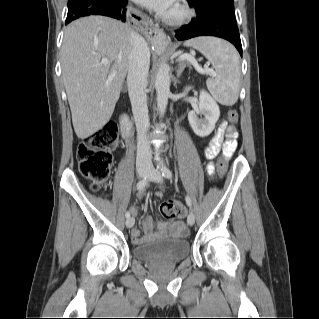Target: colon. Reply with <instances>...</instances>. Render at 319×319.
Segmentation results:
<instances>
[{
  "mask_svg": "<svg viewBox=\"0 0 319 319\" xmlns=\"http://www.w3.org/2000/svg\"><path fill=\"white\" fill-rule=\"evenodd\" d=\"M231 124L238 122V112L229 111ZM118 127L114 122H107L100 130L84 138L78 145L77 159L81 175L90 182L93 190L104 187L109 178L113 161V152L117 148ZM225 160H218V174L222 178L226 175ZM161 214L169 220H175L182 215L183 209L176 200H168L160 205Z\"/></svg>",
  "mask_w": 319,
  "mask_h": 319,
  "instance_id": "colon-1",
  "label": "colon"
}]
</instances>
